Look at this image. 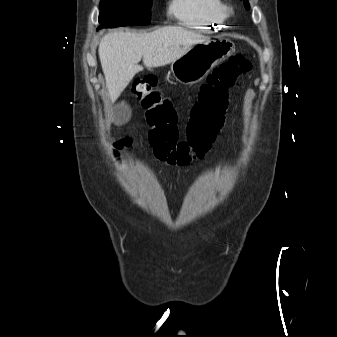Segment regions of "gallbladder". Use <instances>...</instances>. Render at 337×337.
<instances>
[{
    "mask_svg": "<svg viewBox=\"0 0 337 337\" xmlns=\"http://www.w3.org/2000/svg\"><path fill=\"white\" fill-rule=\"evenodd\" d=\"M114 114H115V123L123 124L127 122L128 119L130 118V109L124 102H122L115 106Z\"/></svg>",
    "mask_w": 337,
    "mask_h": 337,
    "instance_id": "1",
    "label": "gallbladder"
}]
</instances>
